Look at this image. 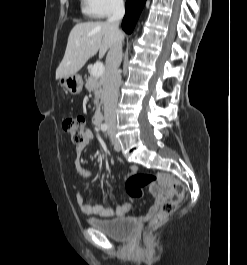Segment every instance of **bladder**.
<instances>
[{
    "label": "bladder",
    "instance_id": "obj_1",
    "mask_svg": "<svg viewBox=\"0 0 247 265\" xmlns=\"http://www.w3.org/2000/svg\"><path fill=\"white\" fill-rule=\"evenodd\" d=\"M88 224L91 228L118 241L128 239L135 230L134 222L127 218L88 219Z\"/></svg>",
    "mask_w": 247,
    "mask_h": 265
}]
</instances>
